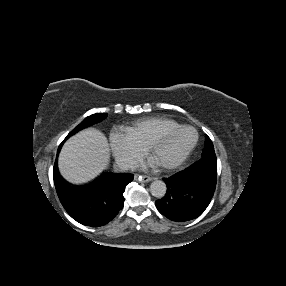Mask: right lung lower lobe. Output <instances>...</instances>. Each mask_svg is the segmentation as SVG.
I'll return each mask as SVG.
<instances>
[{
    "label": "right lung lower lobe",
    "mask_w": 286,
    "mask_h": 286,
    "mask_svg": "<svg viewBox=\"0 0 286 286\" xmlns=\"http://www.w3.org/2000/svg\"><path fill=\"white\" fill-rule=\"evenodd\" d=\"M53 176L58 197L67 213L77 222L91 227L103 226L118 214L124 205L126 185L134 177L130 173L105 172L89 184L74 186L59 175L57 159Z\"/></svg>",
    "instance_id": "right-lung-lower-lobe-1"
}]
</instances>
